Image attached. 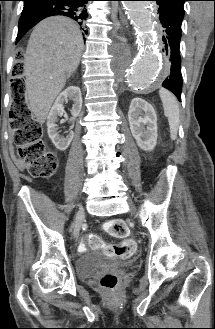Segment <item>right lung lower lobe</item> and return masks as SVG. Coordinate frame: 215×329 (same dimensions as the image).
Wrapping results in <instances>:
<instances>
[{
	"label": "right lung lower lobe",
	"mask_w": 215,
	"mask_h": 329,
	"mask_svg": "<svg viewBox=\"0 0 215 329\" xmlns=\"http://www.w3.org/2000/svg\"><path fill=\"white\" fill-rule=\"evenodd\" d=\"M24 8L19 20L16 43L39 21L54 15H63L74 19L87 34L88 18L85 3L90 0H23Z\"/></svg>",
	"instance_id": "98d812e1"
}]
</instances>
